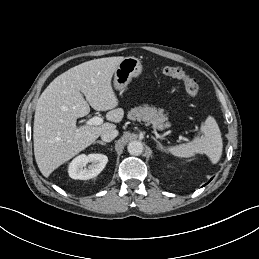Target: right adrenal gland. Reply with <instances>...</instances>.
I'll use <instances>...</instances> for the list:
<instances>
[{
  "instance_id": "right-adrenal-gland-1",
  "label": "right adrenal gland",
  "mask_w": 259,
  "mask_h": 259,
  "mask_svg": "<svg viewBox=\"0 0 259 259\" xmlns=\"http://www.w3.org/2000/svg\"><path fill=\"white\" fill-rule=\"evenodd\" d=\"M95 143H99V144L104 145V146H106V145H107V143H105V142H103V141H100V140H98V141L94 142V144H95Z\"/></svg>"
}]
</instances>
